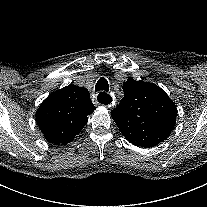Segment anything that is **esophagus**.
<instances>
[{
	"mask_svg": "<svg viewBox=\"0 0 207 207\" xmlns=\"http://www.w3.org/2000/svg\"><path fill=\"white\" fill-rule=\"evenodd\" d=\"M97 99L99 100V102L101 104H103L107 108L112 107L114 105V103H115L114 98L112 96H110L106 92H103L101 94L100 93H96L95 94V98L93 99L95 104H98V100Z\"/></svg>",
	"mask_w": 207,
	"mask_h": 207,
	"instance_id": "1",
	"label": "esophagus"
}]
</instances>
